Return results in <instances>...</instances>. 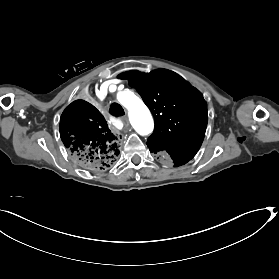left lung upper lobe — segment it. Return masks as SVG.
<instances>
[{
  "mask_svg": "<svg viewBox=\"0 0 279 279\" xmlns=\"http://www.w3.org/2000/svg\"><path fill=\"white\" fill-rule=\"evenodd\" d=\"M151 110L155 129L147 146L155 150L197 153L207 127V106L202 94L177 73L157 69L150 73L123 72Z\"/></svg>",
  "mask_w": 279,
  "mask_h": 279,
  "instance_id": "5c2ea615",
  "label": "left lung upper lobe"
}]
</instances>
